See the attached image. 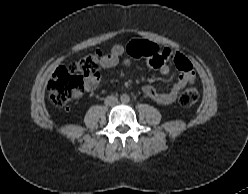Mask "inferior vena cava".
Segmentation results:
<instances>
[{"label": "inferior vena cava", "mask_w": 248, "mask_h": 194, "mask_svg": "<svg viewBox=\"0 0 248 194\" xmlns=\"http://www.w3.org/2000/svg\"><path fill=\"white\" fill-rule=\"evenodd\" d=\"M117 103H118V98L115 97V96H107V97L105 98V104H106L107 106H114V105H116Z\"/></svg>", "instance_id": "inferior-vena-cava-1"}]
</instances>
